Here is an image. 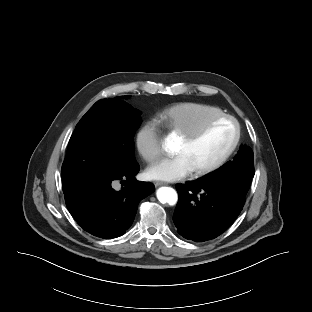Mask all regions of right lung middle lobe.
Listing matches in <instances>:
<instances>
[{"label": "right lung middle lobe", "mask_w": 312, "mask_h": 312, "mask_svg": "<svg viewBox=\"0 0 312 312\" xmlns=\"http://www.w3.org/2000/svg\"><path fill=\"white\" fill-rule=\"evenodd\" d=\"M127 97L97 101L77 124L62 165L64 195L136 163L133 137L140 111L120 99Z\"/></svg>", "instance_id": "dd1d6c3e"}]
</instances>
